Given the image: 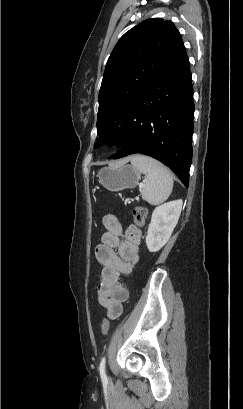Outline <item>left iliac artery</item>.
<instances>
[{"label": "left iliac artery", "mask_w": 243, "mask_h": 409, "mask_svg": "<svg viewBox=\"0 0 243 409\" xmlns=\"http://www.w3.org/2000/svg\"><path fill=\"white\" fill-rule=\"evenodd\" d=\"M105 362H106V357L104 356L99 365V371H100V376H101L102 381H107V376L105 373Z\"/></svg>", "instance_id": "obj_1"}]
</instances>
